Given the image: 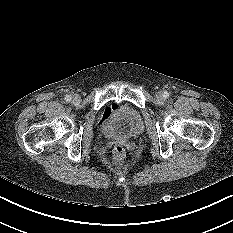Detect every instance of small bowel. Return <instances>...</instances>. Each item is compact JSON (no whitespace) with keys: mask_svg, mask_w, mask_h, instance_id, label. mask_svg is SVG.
<instances>
[{"mask_svg":"<svg viewBox=\"0 0 233 233\" xmlns=\"http://www.w3.org/2000/svg\"><path fill=\"white\" fill-rule=\"evenodd\" d=\"M118 107L117 104L106 107L100 117V125H102Z\"/></svg>","mask_w":233,"mask_h":233,"instance_id":"c3829d8e","label":"small bowel"}]
</instances>
